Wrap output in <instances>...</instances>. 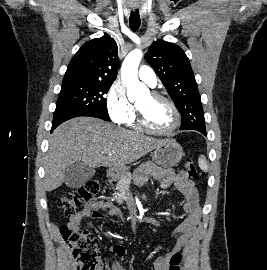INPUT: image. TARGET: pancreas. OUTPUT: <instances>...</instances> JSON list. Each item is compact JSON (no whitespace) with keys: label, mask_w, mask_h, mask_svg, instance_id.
Segmentation results:
<instances>
[{"label":"pancreas","mask_w":267,"mask_h":270,"mask_svg":"<svg viewBox=\"0 0 267 270\" xmlns=\"http://www.w3.org/2000/svg\"><path fill=\"white\" fill-rule=\"evenodd\" d=\"M131 174L127 173L125 176L120 178L118 181V184L116 185V192L113 194V199H115L118 202H121L122 200L130 199L129 198V187L131 183Z\"/></svg>","instance_id":"obj_1"}]
</instances>
